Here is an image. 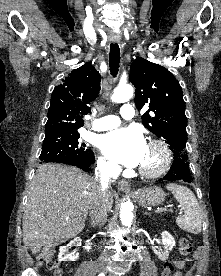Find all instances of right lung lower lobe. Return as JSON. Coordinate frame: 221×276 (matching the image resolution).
Returning a JSON list of instances; mask_svg holds the SVG:
<instances>
[{
    "mask_svg": "<svg viewBox=\"0 0 221 276\" xmlns=\"http://www.w3.org/2000/svg\"><path fill=\"white\" fill-rule=\"evenodd\" d=\"M95 162V158L91 160H65V161H60L57 163H64L68 165H73L81 168L82 170L88 172L90 171V166L93 165Z\"/></svg>",
    "mask_w": 221,
    "mask_h": 276,
    "instance_id": "98d812e1",
    "label": "right lung lower lobe"
}]
</instances>
